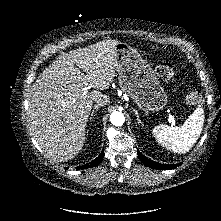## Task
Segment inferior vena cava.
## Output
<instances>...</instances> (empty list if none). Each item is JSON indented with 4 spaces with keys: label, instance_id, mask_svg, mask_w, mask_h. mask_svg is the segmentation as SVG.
I'll return each instance as SVG.
<instances>
[{
    "label": "inferior vena cava",
    "instance_id": "inferior-vena-cava-1",
    "mask_svg": "<svg viewBox=\"0 0 221 221\" xmlns=\"http://www.w3.org/2000/svg\"><path fill=\"white\" fill-rule=\"evenodd\" d=\"M94 101L97 103V105L105 106V105L109 104L110 99L106 95L99 94L94 98Z\"/></svg>",
    "mask_w": 221,
    "mask_h": 221
}]
</instances>
